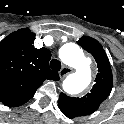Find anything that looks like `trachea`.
I'll use <instances>...</instances> for the list:
<instances>
[{
    "instance_id": "1",
    "label": "trachea",
    "mask_w": 124,
    "mask_h": 124,
    "mask_svg": "<svg viewBox=\"0 0 124 124\" xmlns=\"http://www.w3.org/2000/svg\"><path fill=\"white\" fill-rule=\"evenodd\" d=\"M50 68L54 71H59L61 69V62L57 59L50 61Z\"/></svg>"
}]
</instances>
